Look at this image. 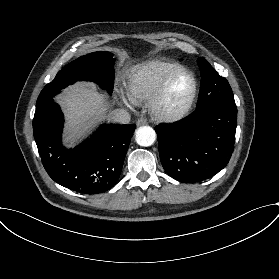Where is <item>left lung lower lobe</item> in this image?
<instances>
[{
	"label": "left lung lower lobe",
	"instance_id": "1",
	"mask_svg": "<svg viewBox=\"0 0 279 279\" xmlns=\"http://www.w3.org/2000/svg\"><path fill=\"white\" fill-rule=\"evenodd\" d=\"M236 126L237 110L216 104L173 124L156 126L164 170L185 183L211 178L230 160Z\"/></svg>",
	"mask_w": 279,
	"mask_h": 279
}]
</instances>
